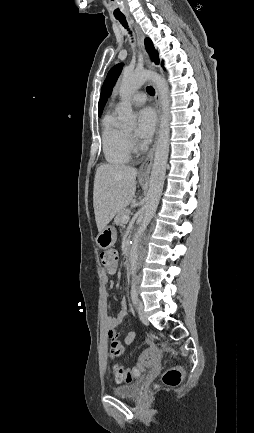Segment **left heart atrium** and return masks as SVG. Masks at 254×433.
Masks as SVG:
<instances>
[{
	"mask_svg": "<svg viewBox=\"0 0 254 433\" xmlns=\"http://www.w3.org/2000/svg\"><path fill=\"white\" fill-rule=\"evenodd\" d=\"M156 114L151 108H143L138 113L136 134L140 139H149L155 130Z\"/></svg>",
	"mask_w": 254,
	"mask_h": 433,
	"instance_id": "left-heart-atrium-1",
	"label": "left heart atrium"
}]
</instances>
